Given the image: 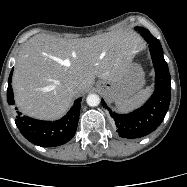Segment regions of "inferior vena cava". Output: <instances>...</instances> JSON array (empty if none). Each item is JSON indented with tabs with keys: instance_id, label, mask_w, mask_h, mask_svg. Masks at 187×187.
Here are the masks:
<instances>
[{
	"instance_id": "inferior-vena-cava-1",
	"label": "inferior vena cava",
	"mask_w": 187,
	"mask_h": 187,
	"mask_svg": "<svg viewBox=\"0 0 187 187\" xmlns=\"http://www.w3.org/2000/svg\"><path fill=\"white\" fill-rule=\"evenodd\" d=\"M69 91L72 93V94H76L77 91H78V84L77 82L73 81L69 87H68Z\"/></svg>"
}]
</instances>
